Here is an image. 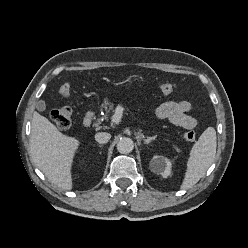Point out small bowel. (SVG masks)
<instances>
[{
    "instance_id": "small-bowel-1",
    "label": "small bowel",
    "mask_w": 248,
    "mask_h": 248,
    "mask_svg": "<svg viewBox=\"0 0 248 248\" xmlns=\"http://www.w3.org/2000/svg\"><path fill=\"white\" fill-rule=\"evenodd\" d=\"M191 103L182 101H168L154 109V114L159 119L168 120L171 124L185 129H193L197 125L196 119L189 113Z\"/></svg>"
}]
</instances>
